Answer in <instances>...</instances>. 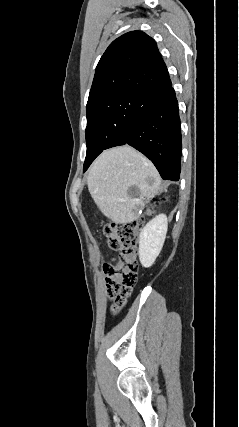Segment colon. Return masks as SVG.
I'll use <instances>...</instances> for the list:
<instances>
[{"label": "colon", "mask_w": 239, "mask_h": 427, "mask_svg": "<svg viewBox=\"0 0 239 427\" xmlns=\"http://www.w3.org/2000/svg\"><path fill=\"white\" fill-rule=\"evenodd\" d=\"M144 225L143 218L129 223H108L103 233L118 258L103 265L107 292L113 300L112 313L116 314L130 296L138 278L137 237Z\"/></svg>", "instance_id": "1"}]
</instances>
